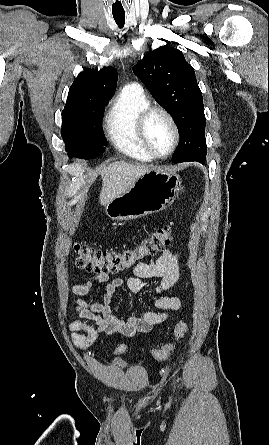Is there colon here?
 Wrapping results in <instances>:
<instances>
[{"mask_svg":"<svg viewBox=\"0 0 269 445\" xmlns=\"http://www.w3.org/2000/svg\"><path fill=\"white\" fill-rule=\"evenodd\" d=\"M173 224H166L148 235L137 247L121 251L97 249L85 244L75 243L73 251L76 265L87 271L116 274L133 268L140 259L154 256L173 241ZM188 331V325L179 321L174 327L173 341L165 346L152 350L157 360H165L172 353L175 344ZM126 346H120L116 352H124Z\"/></svg>","mask_w":269,"mask_h":445,"instance_id":"5ec220e1","label":"colon"}]
</instances>
